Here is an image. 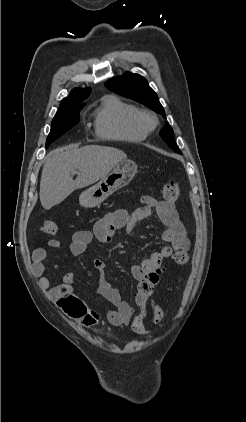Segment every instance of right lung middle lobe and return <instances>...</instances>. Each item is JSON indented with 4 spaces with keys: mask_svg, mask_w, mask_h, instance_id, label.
<instances>
[{
    "mask_svg": "<svg viewBox=\"0 0 246 422\" xmlns=\"http://www.w3.org/2000/svg\"><path fill=\"white\" fill-rule=\"evenodd\" d=\"M85 105L60 107L53 118L51 131L46 140V148L65 132L79 123V112Z\"/></svg>",
    "mask_w": 246,
    "mask_h": 422,
    "instance_id": "1",
    "label": "right lung middle lobe"
}]
</instances>
